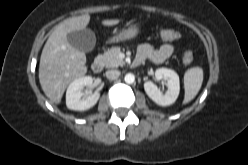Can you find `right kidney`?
<instances>
[{"label":"right kidney","mask_w":248,"mask_h":165,"mask_svg":"<svg viewBox=\"0 0 248 165\" xmlns=\"http://www.w3.org/2000/svg\"><path fill=\"white\" fill-rule=\"evenodd\" d=\"M93 78L83 76L75 79L67 88L66 106L70 110L85 111L93 107L99 100L100 93L95 91L93 94L84 97V87L91 86Z\"/></svg>","instance_id":"obj_1"}]
</instances>
